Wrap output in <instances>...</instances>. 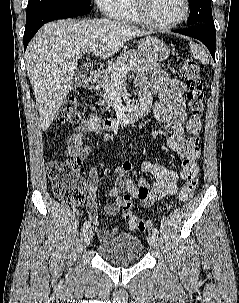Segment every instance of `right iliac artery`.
<instances>
[{
    "label": "right iliac artery",
    "instance_id": "right-iliac-artery-1",
    "mask_svg": "<svg viewBox=\"0 0 239 303\" xmlns=\"http://www.w3.org/2000/svg\"><path fill=\"white\" fill-rule=\"evenodd\" d=\"M89 227H90V221H85L84 224H83V230L85 231Z\"/></svg>",
    "mask_w": 239,
    "mask_h": 303
}]
</instances>
